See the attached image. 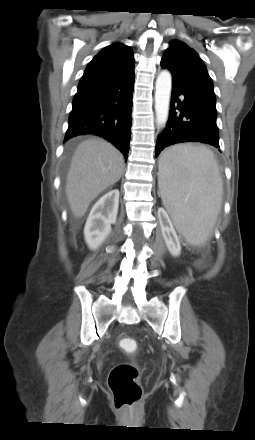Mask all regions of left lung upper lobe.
I'll list each match as a JSON object with an SVG mask.
<instances>
[{
	"label": "left lung upper lobe",
	"mask_w": 255,
	"mask_h": 440,
	"mask_svg": "<svg viewBox=\"0 0 255 440\" xmlns=\"http://www.w3.org/2000/svg\"><path fill=\"white\" fill-rule=\"evenodd\" d=\"M161 66L171 71L173 84L191 97L215 106L212 80L206 66L192 48L181 41H171L162 57Z\"/></svg>",
	"instance_id": "obj_1"
}]
</instances>
